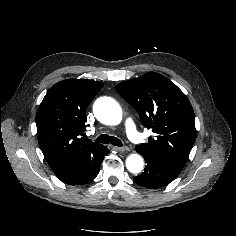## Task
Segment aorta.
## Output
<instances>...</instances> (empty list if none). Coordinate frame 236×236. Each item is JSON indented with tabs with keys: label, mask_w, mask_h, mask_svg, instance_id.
<instances>
[{
	"label": "aorta",
	"mask_w": 236,
	"mask_h": 236,
	"mask_svg": "<svg viewBox=\"0 0 236 236\" xmlns=\"http://www.w3.org/2000/svg\"><path fill=\"white\" fill-rule=\"evenodd\" d=\"M94 114L100 122L107 125H117L122 120L120 105L110 97H101L94 104ZM144 162L139 154H131L126 159V167L131 173H139Z\"/></svg>",
	"instance_id": "762f6f07"
}]
</instances>
